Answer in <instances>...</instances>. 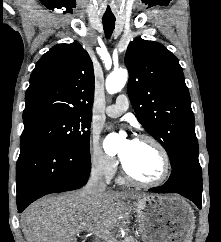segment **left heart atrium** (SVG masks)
I'll list each match as a JSON object with an SVG mask.
<instances>
[{
  "label": "left heart atrium",
  "instance_id": "1",
  "mask_svg": "<svg viewBox=\"0 0 221 242\" xmlns=\"http://www.w3.org/2000/svg\"><path fill=\"white\" fill-rule=\"evenodd\" d=\"M135 141H136V139L131 138V139L128 140V143H129V144H133Z\"/></svg>",
  "mask_w": 221,
  "mask_h": 242
}]
</instances>
